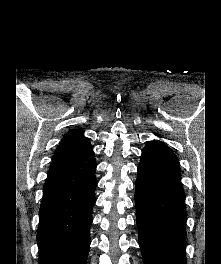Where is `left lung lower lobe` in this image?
<instances>
[{"label":"left lung lower lobe","mask_w":221,"mask_h":264,"mask_svg":"<svg viewBox=\"0 0 221 264\" xmlns=\"http://www.w3.org/2000/svg\"><path fill=\"white\" fill-rule=\"evenodd\" d=\"M177 156L161 141L142 150L135 190L144 264H186L185 194Z\"/></svg>","instance_id":"0a47b994"}]
</instances>
